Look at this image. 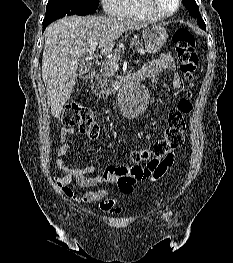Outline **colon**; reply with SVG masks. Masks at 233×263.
<instances>
[{
  "label": "colon",
  "instance_id": "5ec220e1",
  "mask_svg": "<svg viewBox=\"0 0 233 263\" xmlns=\"http://www.w3.org/2000/svg\"><path fill=\"white\" fill-rule=\"evenodd\" d=\"M173 42L180 64V71L191 80L197 68L198 57L196 53L195 38L191 31L181 28L173 35ZM192 111L190 94L178 102L177 107L172 109L167 118V125L163 136L152 143L149 148L134 151L131 160L134 165L120 169V172L134 177L145 175L139 164L147 162L145 167H150L152 176L159 177L173 162L174 152L179 149L184 140L186 116ZM62 124L67 128L76 127L80 134L86 135L91 140L100 136V127L94 121L91 111L73 102L67 105L61 116Z\"/></svg>",
  "mask_w": 233,
  "mask_h": 263
}]
</instances>
